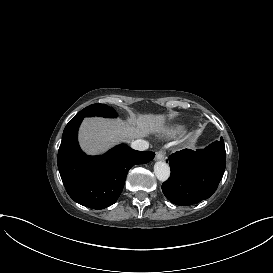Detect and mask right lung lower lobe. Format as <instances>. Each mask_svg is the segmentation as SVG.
<instances>
[{
  "label": "right lung lower lobe",
  "instance_id": "1",
  "mask_svg": "<svg viewBox=\"0 0 273 273\" xmlns=\"http://www.w3.org/2000/svg\"><path fill=\"white\" fill-rule=\"evenodd\" d=\"M82 120V117H73L64 129L58 151V169L67 193L75 202L104 209L117 201L129 169L150 162L155 153L136 151L121 144L102 156H88L81 151L77 141Z\"/></svg>",
  "mask_w": 273,
  "mask_h": 273
}]
</instances>
